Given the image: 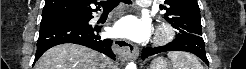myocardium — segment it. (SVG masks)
<instances>
[{
  "instance_id": "1",
  "label": "myocardium",
  "mask_w": 246,
  "mask_h": 69,
  "mask_svg": "<svg viewBox=\"0 0 246 69\" xmlns=\"http://www.w3.org/2000/svg\"><path fill=\"white\" fill-rule=\"evenodd\" d=\"M174 37V29L169 23H161L158 26L156 35H155V43L156 44H165L171 41Z\"/></svg>"
}]
</instances>
